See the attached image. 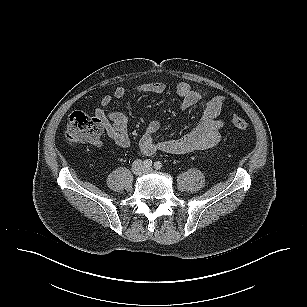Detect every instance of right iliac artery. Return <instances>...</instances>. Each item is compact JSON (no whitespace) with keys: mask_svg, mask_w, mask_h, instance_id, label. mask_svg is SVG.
<instances>
[{"mask_svg":"<svg viewBox=\"0 0 307 307\" xmlns=\"http://www.w3.org/2000/svg\"><path fill=\"white\" fill-rule=\"evenodd\" d=\"M144 166H145L146 168L151 167V166H152V160H151V159H146V160L144 161Z\"/></svg>","mask_w":307,"mask_h":307,"instance_id":"obj_1","label":"right iliac artery"}]
</instances>
